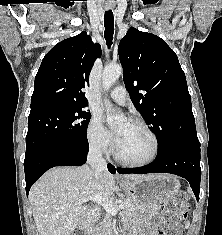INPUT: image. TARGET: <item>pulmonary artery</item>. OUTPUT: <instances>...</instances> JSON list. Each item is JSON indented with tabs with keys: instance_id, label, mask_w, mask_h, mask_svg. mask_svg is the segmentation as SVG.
<instances>
[{
	"instance_id": "e3ab8cb5",
	"label": "pulmonary artery",
	"mask_w": 222,
	"mask_h": 235,
	"mask_svg": "<svg viewBox=\"0 0 222 235\" xmlns=\"http://www.w3.org/2000/svg\"><path fill=\"white\" fill-rule=\"evenodd\" d=\"M112 100L118 104L124 105L127 101V92L123 86H117L109 93Z\"/></svg>"
}]
</instances>
